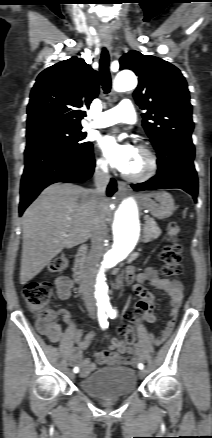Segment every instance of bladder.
<instances>
[{
	"mask_svg": "<svg viewBox=\"0 0 212 438\" xmlns=\"http://www.w3.org/2000/svg\"><path fill=\"white\" fill-rule=\"evenodd\" d=\"M79 386L102 399L124 397L136 390V373L129 368H107L80 379Z\"/></svg>",
	"mask_w": 212,
	"mask_h": 438,
	"instance_id": "1",
	"label": "bladder"
}]
</instances>
